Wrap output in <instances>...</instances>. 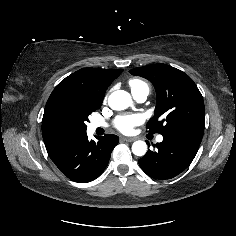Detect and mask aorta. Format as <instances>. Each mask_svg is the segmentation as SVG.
<instances>
[{"mask_svg":"<svg viewBox=\"0 0 236 236\" xmlns=\"http://www.w3.org/2000/svg\"><path fill=\"white\" fill-rule=\"evenodd\" d=\"M108 104L113 110H124L131 104V96L124 90L112 92L108 97ZM132 152L136 156H144L147 152V144L138 140L132 144Z\"/></svg>","mask_w":236,"mask_h":236,"instance_id":"1","label":"aorta"}]
</instances>
